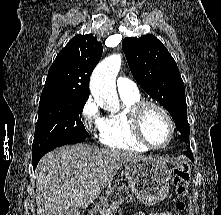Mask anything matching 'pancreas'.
I'll use <instances>...</instances> for the list:
<instances>
[{
  "label": "pancreas",
  "instance_id": "pancreas-1",
  "mask_svg": "<svg viewBox=\"0 0 221 215\" xmlns=\"http://www.w3.org/2000/svg\"><path fill=\"white\" fill-rule=\"evenodd\" d=\"M113 190H117L119 193L125 192V195H120L119 199L114 201V196L112 194ZM135 199L133 198L132 194L129 191V187L124 184H118L117 186L110 188L107 190L106 194L100 197L99 203L93 208L92 215H97L96 212H99L100 209H107L110 207L111 209L115 208L118 204L122 203H130L133 202ZM109 202L111 204L109 205ZM109 214V211L107 212Z\"/></svg>",
  "mask_w": 221,
  "mask_h": 215
}]
</instances>
